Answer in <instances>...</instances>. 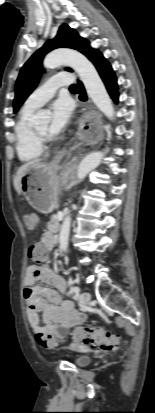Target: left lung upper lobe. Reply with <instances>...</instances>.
I'll return each instance as SVG.
<instances>
[{"mask_svg": "<svg viewBox=\"0 0 155 413\" xmlns=\"http://www.w3.org/2000/svg\"><path fill=\"white\" fill-rule=\"evenodd\" d=\"M60 47L78 50L89 60H92L99 53L98 50L91 48L88 40L81 38L74 29L66 24L62 25L56 37L46 42L22 67L15 86V99L13 103L15 113L37 86L43 73L42 60L45 54ZM66 70L71 71L69 68H66Z\"/></svg>", "mask_w": 155, "mask_h": 413, "instance_id": "1", "label": "left lung upper lobe"}]
</instances>
